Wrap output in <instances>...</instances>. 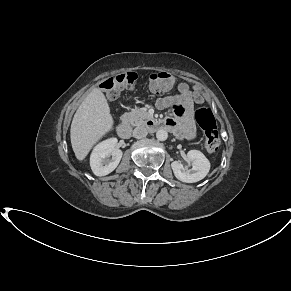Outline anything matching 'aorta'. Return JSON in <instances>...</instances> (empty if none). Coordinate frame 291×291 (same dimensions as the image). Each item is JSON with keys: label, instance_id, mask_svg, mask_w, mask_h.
I'll return each instance as SVG.
<instances>
[{"label": "aorta", "instance_id": "aorta-1", "mask_svg": "<svg viewBox=\"0 0 291 291\" xmlns=\"http://www.w3.org/2000/svg\"><path fill=\"white\" fill-rule=\"evenodd\" d=\"M156 138L159 141H165L168 138V133L166 130L160 129L156 132Z\"/></svg>", "mask_w": 291, "mask_h": 291}]
</instances>
